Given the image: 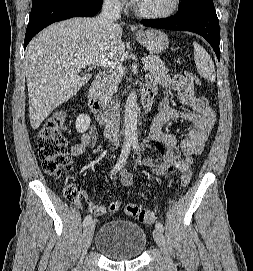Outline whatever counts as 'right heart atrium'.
<instances>
[{
	"label": "right heart atrium",
	"instance_id": "right-heart-atrium-1",
	"mask_svg": "<svg viewBox=\"0 0 253 271\" xmlns=\"http://www.w3.org/2000/svg\"><path fill=\"white\" fill-rule=\"evenodd\" d=\"M109 3L117 6H122L126 4L127 0H107Z\"/></svg>",
	"mask_w": 253,
	"mask_h": 271
}]
</instances>
